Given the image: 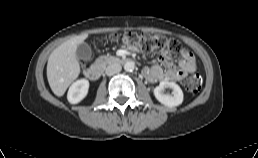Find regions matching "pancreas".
I'll return each mask as SVG.
<instances>
[{"mask_svg": "<svg viewBox=\"0 0 258 158\" xmlns=\"http://www.w3.org/2000/svg\"><path fill=\"white\" fill-rule=\"evenodd\" d=\"M107 58L106 57H100L97 59L98 62H103V61H106Z\"/></svg>", "mask_w": 258, "mask_h": 158, "instance_id": "pancreas-1", "label": "pancreas"}]
</instances>
